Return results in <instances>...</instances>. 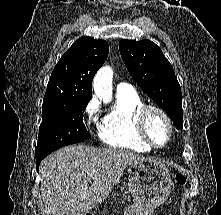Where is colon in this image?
Returning a JSON list of instances; mask_svg holds the SVG:
<instances>
[{
	"mask_svg": "<svg viewBox=\"0 0 221 215\" xmlns=\"http://www.w3.org/2000/svg\"><path fill=\"white\" fill-rule=\"evenodd\" d=\"M177 184L184 185L186 183V176L183 173H177L175 176Z\"/></svg>",
	"mask_w": 221,
	"mask_h": 215,
	"instance_id": "5ec220e1",
	"label": "colon"
}]
</instances>
